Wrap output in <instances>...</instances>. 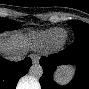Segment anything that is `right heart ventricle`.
I'll return each instance as SVG.
<instances>
[{"instance_id": "e07e8e85", "label": "right heart ventricle", "mask_w": 89, "mask_h": 89, "mask_svg": "<svg viewBox=\"0 0 89 89\" xmlns=\"http://www.w3.org/2000/svg\"><path fill=\"white\" fill-rule=\"evenodd\" d=\"M65 35V31L61 28H52L41 31L32 35V41L36 47L56 46Z\"/></svg>"}]
</instances>
